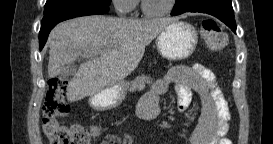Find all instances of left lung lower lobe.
I'll return each mask as SVG.
<instances>
[{
    "label": "left lung lower lobe",
    "mask_w": 273,
    "mask_h": 144,
    "mask_svg": "<svg viewBox=\"0 0 273 144\" xmlns=\"http://www.w3.org/2000/svg\"><path fill=\"white\" fill-rule=\"evenodd\" d=\"M185 12H201L213 15L236 33L231 0H186L183 4L174 6L171 15L176 16Z\"/></svg>",
    "instance_id": "1"
}]
</instances>
